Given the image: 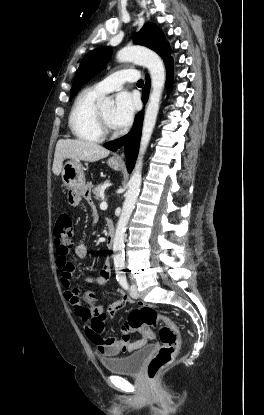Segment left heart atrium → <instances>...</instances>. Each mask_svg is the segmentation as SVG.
<instances>
[{
  "label": "left heart atrium",
  "mask_w": 264,
  "mask_h": 415,
  "mask_svg": "<svg viewBox=\"0 0 264 415\" xmlns=\"http://www.w3.org/2000/svg\"><path fill=\"white\" fill-rule=\"evenodd\" d=\"M135 112V100L128 92H120L115 98L112 122L116 129L130 124Z\"/></svg>",
  "instance_id": "39dd6f15"
}]
</instances>
